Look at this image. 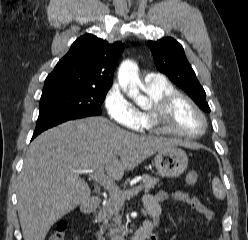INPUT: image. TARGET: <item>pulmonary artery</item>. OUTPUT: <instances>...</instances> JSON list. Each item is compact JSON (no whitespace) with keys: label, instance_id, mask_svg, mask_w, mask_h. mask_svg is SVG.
Masks as SVG:
<instances>
[{"label":"pulmonary artery","instance_id":"obj_1","mask_svg":"<svg viewBox=\"0 0 248 240\" xmlns=\"http://www.w3.org/2000/svg\"><path fill=\"white\" fill-rule=\"evenodd\" d=\"M159 79H162L161 75L155 72H150L145 76V81H155Z\"/></svg>","mask_w":248,"mask_h":240}]
</instances>
